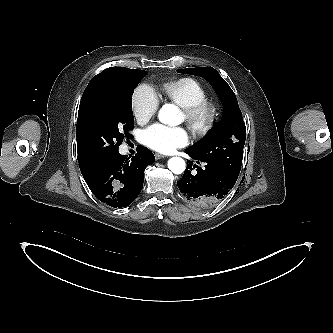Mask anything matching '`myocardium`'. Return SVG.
<instances>
[{
	"label": "myocardium",
	"mask_w": 333,
	"mask_h": 333,
	"mask_svg": "<svg viewBox=\"0 0 333 333\" xmlns=\"http://www.w3.org/2000/svg\"><path fill=\"white\" fill-rule=\"evenodd\" d=\"M183 116L192 135L200 139L215 128L221 116V108L217 102L206 99L183 108Z\"/></svg>",
	"instance_id": "myocardium-1"
}]
</instances>
